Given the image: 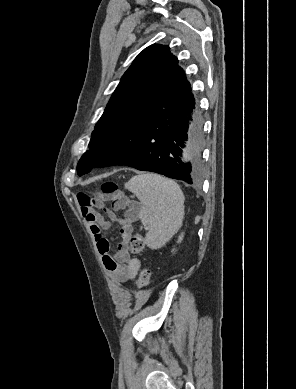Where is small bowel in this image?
Wrapping results in <instances>:
<instances>
[{
  "instance_id": "c3829d8e",
  "label": "small bowel",
  "mask_w": 296,
  "mask_h": 389,
  "mask_svg": "<svg viewBox=\"0 0 296 389\" xmlns=\"http://www.w3.org/2000/svg\"><path fill=\"white\" fill-rule=\"evenodd\" d=\"M77 198L81 214L95 238L103 265L110 276L122 283L135 278L140 263L137 259L131 258L128 242L132 233V222L138 214V206L126 198L111 207H106V201L102 198H91L86 194H79ZM95 209H102L106 217L97 213ZM120 210H125L122 217L118 215ZM112 222L119 224L121 236L117 251L113 255L110 254V243L103 235V231L108 230Z\"/></svg>"
}]
</instances>
